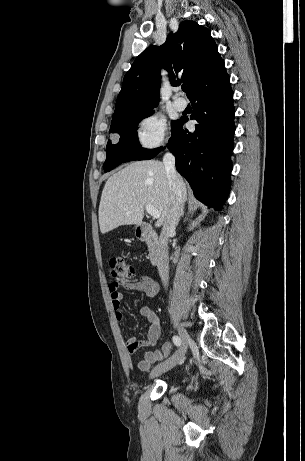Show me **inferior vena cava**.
<instances>
[{
  "label": "inferior vena cava",
  "mask_w": 305,
  "mask_h": 461,
  "mask_svg": "<svg viewBox=\"0 0 305 461\" xmlns=\"http://www.w3.org/2000/svg\"><path fill=\"white\" fill-rule=\"evenodd\" d=\"M163 164L166 170L170 195V207L166 214L163 228L159 237L157 248V268L162 282L166 285L169 279V257H168V237L175 232L179 218L183 211V195L181 192V182L175 170V157L171 153H166L163 157Z\"/></svg>",
  "instance_id": "1"
}]
</instances>
